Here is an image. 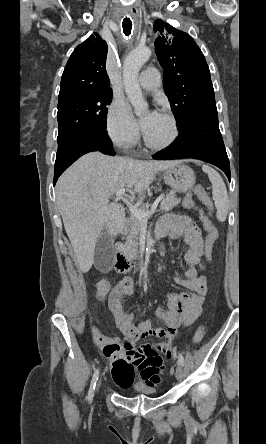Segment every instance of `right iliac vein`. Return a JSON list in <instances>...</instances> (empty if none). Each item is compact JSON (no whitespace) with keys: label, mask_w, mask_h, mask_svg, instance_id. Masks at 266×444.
<instances>
[{"label":"right iliac vein","mask_w":266,"mask_h":444,"mask_svg":"<svg viewBox=\"0 0 266 444\" xmlns=\"http://www.w3.org/2000/svg\"><path fill=\"white\" fill-rule=\"evenodd\" d=\"M100 386H101V380L97 384V391L99 390Z\"/></svg>","instance_id":"63e3f726"}]
</instances>
